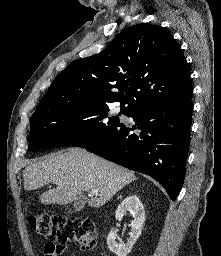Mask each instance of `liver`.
Here are the masks:
<instances>
[{"instance_id":"obj_1","label":"liver","mask_w":221,"mask_h":256,"mask_svg":"<svg viewBox=\"0 0 221 256\" xmlns=\"http://www.w3.org/2000/svg\"><path fill=\"white\" fill-rule=\"evenodd\" d=\"M24 189L36 190L53 183L56 188L42 193L44 205L68 204L84 191L97 190L88 200L90 207L105 205L124 186L136 180L132 171L86 150L73 148L32 163L23 173Z\"/></svg>"}]
</instances>
